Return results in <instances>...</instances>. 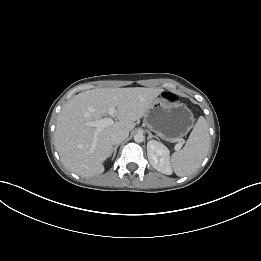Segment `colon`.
Here are the masks:
<instances>
[{
  "label": "colon",
  "mask_w": 261,
  "mask_h": 261,
  "mask_svg": "<svg viewBox=\"0 0 261 261\" xmlns=\"http://www.w3.org/2000/svg\"><path fill=\"white\" fill-rule=\"evenodd\" d=\"M163 98L169 102H174L177 99L176 96L171 92H165L163 94Z\"/></svg>",
  "instance_id": "1"
}]
</instances>
